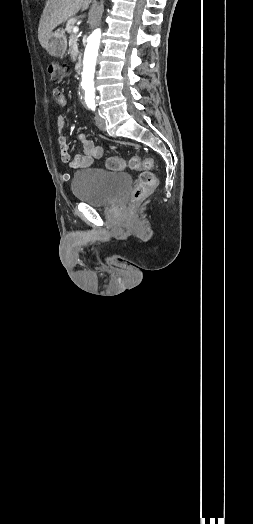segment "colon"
Masks as SVG:
<instances>
[{
    "mask_svg": "<svg viewBox=\"0 0 253 524\" xmlns=\"http://www.w3.org/2000/svg\"><path fill=\"white\" fill-rule=\"evenodd\" d=\"M69 72L68 65L60 62H51L48 65V73L53 82H60ZM106 166L110 170L121 171L126 164L121 157H111L107 160ZM129 166L133 170H144L132 191L131 204L135 205L143 200L156 186L158 179L156 175L148 169L153 167V160L151 158L141 159L138 156L133 157Z\"/></svg>",
    "mask_w": 253,
    "mask_h": 524,
    "instance_id": "obj_1",
    "label": "colon"
}]
</instances>
